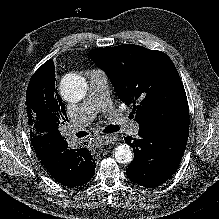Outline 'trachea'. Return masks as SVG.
I'll return each instance as SVG.
<instances>
[{
	"label": "trachea",
	"mask_w": 219,
	"mask_h": 219,
	"mask_svg": "<svg viewBox=\"0 0 219 219\" xmlns=\"http://www.w3.org/2000/svg\"><path fill=\"white\" fill-rule=\"evenodd\" d=\"M120 128L118 126L115 125H108L103 132L104 133H113V132H117Z\"/></svg>",
	"instance_id": "trachea-1"
}]
</instances>
